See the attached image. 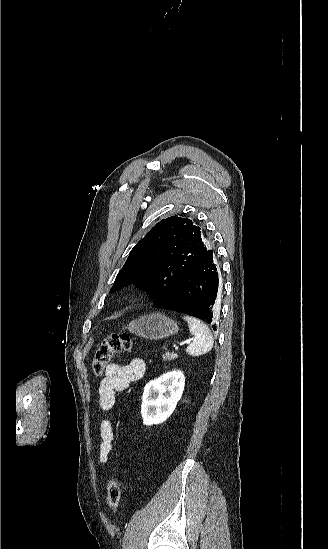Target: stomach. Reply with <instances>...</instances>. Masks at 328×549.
<instances>
[{
    "label": "stomach",
    "instance_id": "obj_1",
    "mask_svg": "<svg viewBox=\"0 0 328 549\" xmlns=\"http://www.w3.org/2000/svg\"><path fill=\"white\" fill-rule=\"evenodd\" d=\"M126 329L137 337H143L149 341H159L170 335H176L179 331L177 323L162 313H150V315H142L139 319H133Z\"/></svg>",
    "mask_w": 328,
    "mask_h": 549
}]
</instances>
